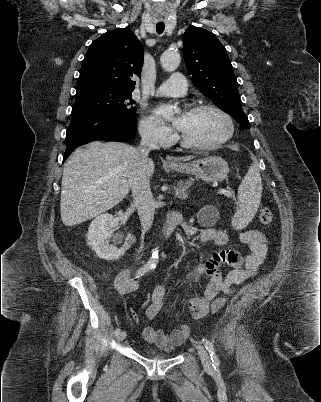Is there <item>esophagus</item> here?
Wrapping results in <instances>:
<instances>
[{
    "label": "esophagus",
    "mask_w": 321,
    "mask_h": 402,
    "mask_svg": "<svg viewBox=\"0 0 321 402\" xmlns=\"http://www.w3.org/2000/svg\"><path fill=\"white\" fill-rule=\"evenodd\" d=\"M165 162H166L167 164H177V163H179V161H178L176 158H174V157H172V156H169V155H167V156L165 157Z\"/></svg>",
    "instance_id": "obj_1"
}]
</instances>
